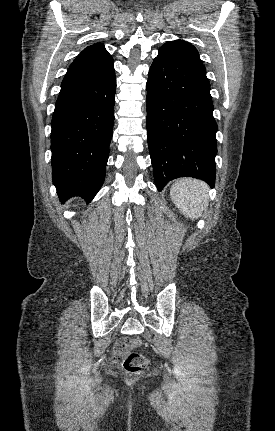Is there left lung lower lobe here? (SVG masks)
Masks as SVG:
<instances>
[{"instance_id":"1","label":"left lung lower lobe","mask_w":275,"mask_h":431,"mask_svg":"<svg viewBox=\"0 0 275 431\" xmlns=\"http://www.w3.org/2000/svg\"><path fill=\"white\" fill-rule=\"evenodd\" d=\"M210 84L183 51L163 45L147 81V135L157 189L189 176L215 184L217 124Z\"/></svg>"}]
</instances>
